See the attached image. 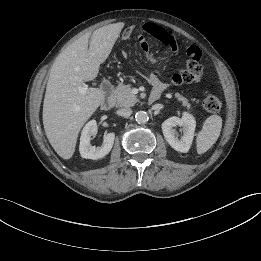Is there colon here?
<instances>
[{"instance_id": "5ec220e1", "label": "colon", "mask_w": 261, "mask_h": 261, "mask_svg": "<svg viewBox=\"0 0 261 261\" xmlns=\"http://www.w3.org/2000/svg\"><path fill=\"white\" fill-rule=\"evenodd\" d=\"M135 32V27L133 25H128L126 29L121 33L119 39L122 43H127L130 38V34ZM203 107L208 112H218L222 107V102L219 97L215 95H208L203 100Z\"/></svg>"}]
</instances>
